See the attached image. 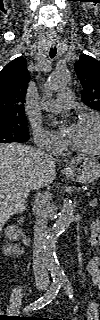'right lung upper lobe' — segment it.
I'll return each mask as SVG.
<instances>
[{
	"label": "right lung upper lobe",
	"instance_id": "cb5924a9",
	"mask_svg": "<svg viewBox=\"0 0 100 320\" xmlns=\"http://www.w3.org/2000/svg\"><path fill=\"white\" fill-rule=\"evenodd\" d=\"M26 60L18 57L0 72V119L25 116L23 103L29 82Z\"/></svg>",
	"mask_w": 100,
	"mask_h": 320
}]
</instances>
